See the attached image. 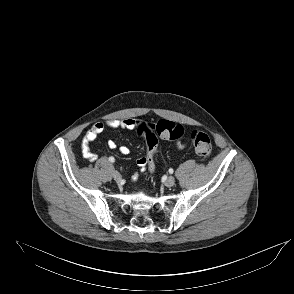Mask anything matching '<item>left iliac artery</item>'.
<instances>
[{"label":"left iliac artery","mask_w":294,"mask_h":294,"mask_svg":"<svg viewBox=\"0 0 294 294\" xmlns=\"http://www.w3.org/2000/svg\"><path fill=\"white\" fill-rule=\"evenodd\" d=\"M168 174H173V167H168Z\"/></svg>","instance_id":"obj_1"}]
</instances>
